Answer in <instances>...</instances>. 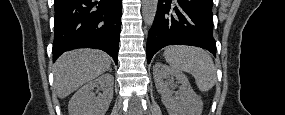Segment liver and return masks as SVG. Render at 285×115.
<instances>
[{
  "mask_svg": "<svg viewBox=\"0 0 285 115\" xmlns=\"http://www.w3.org/2000/svg\"><path fill=\"white\" fill-rule=\"evenodd\" d=\"M110 65V57L100 50L78 49L64 53L54 65V88L58 97L65 98L106 72Z\"/></svg>",
  "mask_w": 285,
  "mask_h": 115,
  "instance_id": "liver-1",
  "label": "liver"
}]
</instances>
